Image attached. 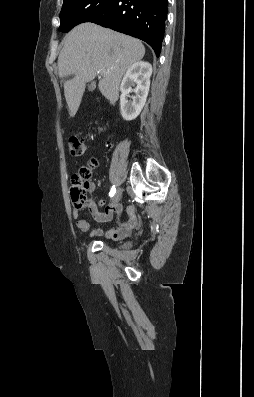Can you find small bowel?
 <instances>
[{
  "label": "small bowel",
  "mask_w": 254,
  "mask_h": 397,
  "mask_svg": "<svg viewBox=\"0 0 254 397\" xmlns=\"http://www.w3.org/2000/svg\"><path fill=\"white\" fill-rule=\"evenodd\" d=\"M94 190V185H89V191ZM90 213L94 220L98 223L112 222V226L105 230L102 227L94 228L90 231V237H105L111 240H119L126 237L130 231L135 228L139 223V218L136 215V208L130 206L127 209L128 219L123 221L121 219L123 208L120 205L108 204L105 206L104 211H100L95 202H92L89 206ZM116 214V219L113 220V216ZM73 217L76 219L77 228L86 233L90 230V225L87 221L79 219V211L74 209L72 212Z\"/></svg>",
  "instance_id": "c3829d8e"
}]
</instances>
